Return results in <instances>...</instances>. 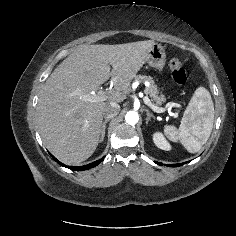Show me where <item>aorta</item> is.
Wrapping results in <instances>:
<instances>
[{
	"mask_svg": "<svg viewBox=\"0 0 236 236\" xmlns=\"http://www.w3.org/2000/svg\"><path fill=\"white\" fill-rule=\"evenodd\" d=\"M139 120V115L135 111H128L125 116V121L129 125H135Z\"/></svg>",
	"mask_w": 236,
	"mask_h": 236,
	"instance_id": "1",
	"label": "aorta"
}]
</instances>
